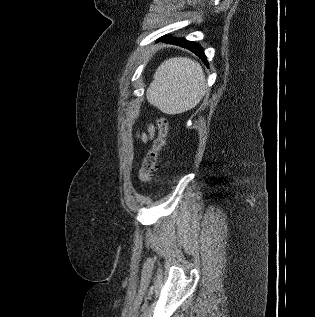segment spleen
<instances>
[{
  "label": "spleen",
  "instance_id": "spleen-1",
  "mask_svg": "<svg viewBox=\"0 0 315 317\" xmlns=\"http://www.w3.org/2000/svg\"><path fill=\"white\" fill-rule=\"evenodd\" d=\"M205 90V75L200 64L188 57H173L157 68L147 98L163 113L180 114L194 108Z\"/></svg>",
  "mask_w": 315,
  "mask_h": 317
}]
</instances>
